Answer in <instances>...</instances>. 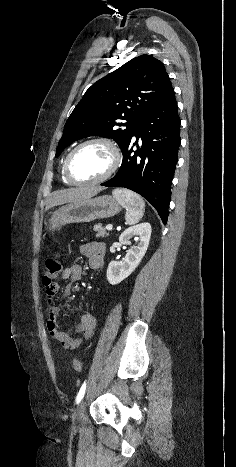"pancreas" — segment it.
<instances>
[{"instance_id":"cf45deb5","label":"pancreas","mask_w":236,"mask_h":467,"mask_svg":"<svg viewBox=\"0 0 236 467\" xmlns=\"http://www.w3.org/2000/svg\"><path fill=\"white\" fill-rule=\"evenodd\" d=\"M93 230L96 232V238H104V237L108 236V233H107L106 229L100 223L96 224L93 227Z\"/></svg>"}]
</instances>
